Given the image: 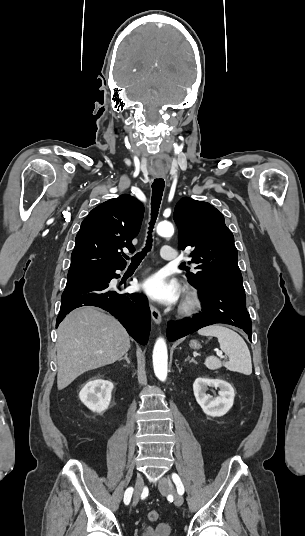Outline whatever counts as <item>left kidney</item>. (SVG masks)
<instances>
[{
	"mask_svg": "<svg viewBox=\"0 0 305 536\" xmlns=\"http://www.w3.org/2000/svg\"><path fill=\"white\" fill-rule=\"evenodd\" d=\"M208 386L210 388H220V392H218L219 396L212 398V396L206 394ZM193 392L196 402H198L204 414H207V416H213V418L215 416H224L233 406L234 390L231 384H228L225 380L197 378L193 384Z\"/></svg>",
	"mask_w": 305,
	"mask_h": 536,
	"instance_id": "1",
	"label": "left kidney"
}]
</instances>
